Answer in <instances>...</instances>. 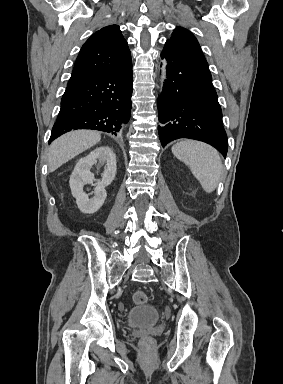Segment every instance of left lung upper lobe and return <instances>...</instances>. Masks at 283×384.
<instances>
[{"instance_id":"left-lung-upper-lobe-1","label":"left lung upper lobe","mask_w":283,"mask_h":384,"mask_svg":"<svg viewBox=\"0 0 283 384\" xmlns=\"http://www.w3.org/2000/svg\"><path fill=\"white\" fill-rule=\"evenodd\" d=\"M166 43L173 44L183 50L204 58L196 37L185 28L177 27L172 33L171 38L167 40Z\"/></svg>"}]
</instances>
